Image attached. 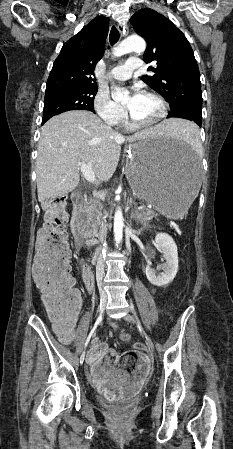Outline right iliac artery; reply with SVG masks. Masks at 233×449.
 <instances>
[{"mask_svg": "<svg viewBox=\"0 0 233 449\" xmlns=\"http://www.w3.org/2000/svg\"><path fill=\"white\" fill-rule=\"evenodd\" d=\"M101 321H102V315H100V316L98 317L97 321L95 322V325H94V327L92 328V330H91V332H90V334H89V336H88V338H87V341H86V343H85V346H87L88 341L90 340L91 336L94 335L95 329H96V327L100 324ZM82 356H83V358L85 357V352H83V354L80 356V358H81Z\"/></svg>", "mask_w": 233, "mask_h": 449, "instance_id": "1", "label": "right iliac artery"}]
</instances>
